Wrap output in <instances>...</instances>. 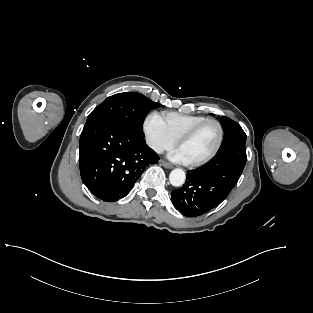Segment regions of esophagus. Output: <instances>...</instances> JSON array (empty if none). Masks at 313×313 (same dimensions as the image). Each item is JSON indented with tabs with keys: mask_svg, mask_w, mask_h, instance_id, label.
Masks as SVG:
<instances>
[{
	"mask_svg": "<svg viewBox=\"0 0 313 313\" xmlns=\"http://www.w3.org/2000/svg\"><path fill=\"white\" fill-rule=\"evenodd\" d=\"M161 165H162L163 167L167 168V169L173 168V165L170 164V163H168V162H166V161H161Z\"/></svg>",
	"mask_w": 313,
	"mask_h": 313,
	"instance_id": "esophagus-1",
	"label": "esophagus"
}]
</instances>
